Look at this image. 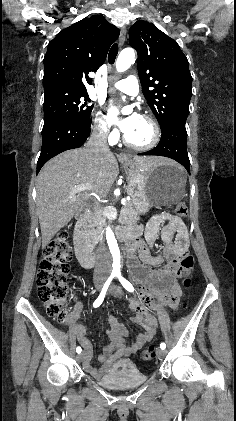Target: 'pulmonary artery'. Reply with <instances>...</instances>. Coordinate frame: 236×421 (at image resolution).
Returning <instances> with one entry per match:
<instances>
[{"label": "pulmonary artery", "mask_w": 236, "mask_h": 421, "mask_svg": "<svg viewBox=\"0 0 236 421\" xmlns=\"http://www.w3.org/2000/svg\"><path fill=\"white\" fill-rule=\"evenodd\" d=\"M114 88L127 94L136 95L138 93V80L135 76H128L113 84Z\"/></svg>", "instance_id": "pulmonary-artery-1"}]
</instances>
